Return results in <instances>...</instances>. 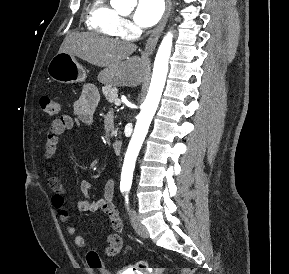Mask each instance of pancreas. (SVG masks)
I'll return each mask as SVG.
<instances>
[{
    "label": "pancreas",
    "instance_id": "pancreas-1",
    "mask_svg": "<svg viewBox=\"0 0 289 274\" xmlns=\"http://www.w3.org/2000/svg\"><path fill=\"white\" fill-rule=\"evenodd\" d=\"M103 94L106 97V100L110 103H115V100L118 99V90L115 87L107 86L103 88ZM116 131L111 133V136H115Z\"/></svg>",
    "mask_w": 289,
    "mask_h": 274
}]
</instances>
